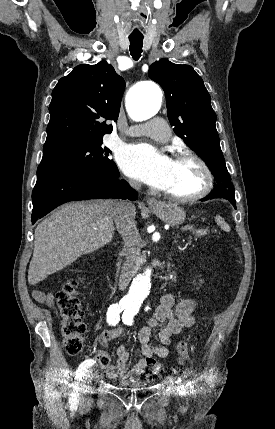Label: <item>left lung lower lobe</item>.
I'll return each instance as SVG.
<instances>
[{
	"label": "left lung lower lobe",
	"instance_id": "obj_1",
	"mask_svg": "<svg viewBox=\"0 0 275 429\" xmlns=\"http://www.w3.org/2000/svg\"><path fill=\"white\" fill-rule=\"evenodd\" d=\"M213 198H222L228 200L233 207L236 209L235 203V191H231L228 189H213L211 193L205 198L201 199V201L213 199Z\"/></svg>",
	"mask_w": 275,
	"mask_h": 429
}]
</instances>
